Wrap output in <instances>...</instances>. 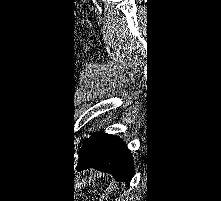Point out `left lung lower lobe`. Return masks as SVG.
Returning <instances> with one entry per match:
<instances>
[{
  "mask_svg": "<svg viewBox=\"0 0 221 201\" xmlns=\"http://www.w3.org/2000/svg\"><path fill=\"white\" fill-rule=\"evenodd\" d=\"M133 158L119 137L99 132L85 149L79 151L78 167H93L110 173L117 181L130 183L134 174Z\"/></svg>",
  "mask_w": 221,
  "mask_h": 201,
  "instance_id": "left-lung-lower-lobe-1",
  "label": "left lung lower lobe"
}]
</instances>
